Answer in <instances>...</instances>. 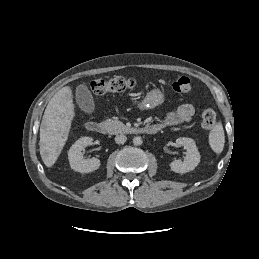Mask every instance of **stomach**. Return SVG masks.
I'll return each instance as SVG.
<instances>
[{"mask_svg":"<svg viewBox=\"0 0 259 259\" xmlns=\"http://www.w3.org/2000/svg\"><path fill=\"white\" fill-rule=\"evenodd\" d=\"M164 101H165L164 93L160 89L155 88L150 90L146 94L145 98L137 104V107L144 110L154 109L162 105Z\"/></svg>","mask_w":259,"mask_h":259,"instance_id":"1","label":"stomach"}]
</instances>
